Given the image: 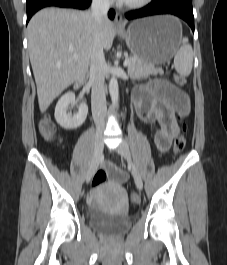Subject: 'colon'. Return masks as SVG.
Segmentation results:
<instances>
[{
	"instance_id": "colon-1",
	"label": "colon",
	"mask_w": 227,
	"mask_h": 265,
	"mask_svg": "<svg viewBox=\"0 0 227 265\" xmlns=\"http://www.w3.org/2000/svg\"><path fill=\"white\" fill-rule=\"evenodd\" d=\"M173 81L176 85L183 86L186 83V78H185V76H183L181 74H174L173 75ZM179 119H180V117H179ZM186 128H187L186 125L184 123H181V125H180L181 132L176 137V139L174 141V145H173L174 155H178L186 147L187 140H186V137L184 135ZM39 130H40L41 136L45 140H50L55 135L56 126L48 115H45L40 120ZM106 179H107V172L104 170H99L93 178L92 185L94 187H97V186L101 185L102 183H104L106 181ZM130 200L132 203H135V204L139 202V198L136 194H132L130 196Z\"/></svg>"
}]
</instances>
